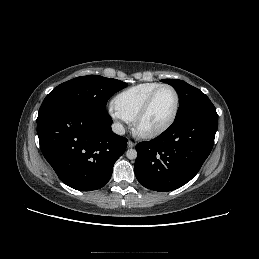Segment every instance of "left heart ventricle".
I'll return each instance as SVG.
<instances>
[{
	"label": "left heart ventricle",
	"mask_w": 259,
	"mask_h": 259,
	"mask_svg": "<svg viewBox=\"0 0 259 259\" xmlns=\"http://www.w3.org/2000/svg\"><path fill=\"white\" fill-rule=\"evenodd\" d=\"M175 96L171 89L163 88L155 96L151 108L140 124L143 131L154 130L163 125L171 116Z\"/></svg>",
	"instance_id": "1"
}]
</instances>
